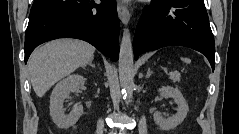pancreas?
Listing matches in <instances>:
<instances>
[{
    "instance_id": "obj_1",
    "label": "pancreas",
    "mask_w": 239,
    "mask_h": 134,
    "mask_svg": "<svg viewBox=\"0 0 239 134\" xmlns=\"http://www.w3.org/2000/svg\"><path fill=\"white\" fill-rule=\"evenodd\" d=\"M170 80L174 83L180 82V74L173 73L172 75H170Z\"/></svg>"
}]
</instances>
